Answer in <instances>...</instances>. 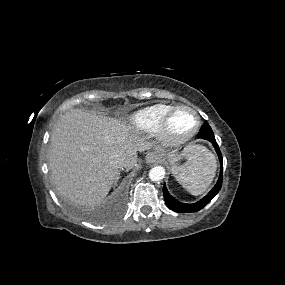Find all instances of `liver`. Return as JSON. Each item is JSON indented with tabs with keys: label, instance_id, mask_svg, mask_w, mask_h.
Instances as JSON below:
<instances>
[{
	"label": "liver",
	"instance_id": "liver-1",
	"mask_svg": "<svg viewBox=\"0 0 285 285\" xmlns=\"http://www.w3.org/2000/svg\"><path fill=\"white\" fill-rule=\"evenodd\" d=\"M150 144L120 120L73 109L63 114L51 134L49 168L57 191L72 202L94 207L109 193L118 177L113 158L124 167L137 162V151Z\"/></svg>",
	"mask_w": 285,
	"mask_h": 285
}]
</instances>
